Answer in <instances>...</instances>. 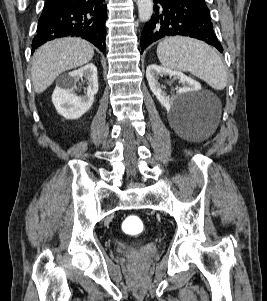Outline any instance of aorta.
Listing matches in <instances>:
<instances>
[{
  "label": "aorta",
  "instance_id": "762f6f07",
  "mask_svg": "<svg viewBox=\"0 0 267 301\" xmlns=\"http://www.w3.org/2000/svg\"><path fill=\"white\" fill-rule=\"evenodd\" d=\"M137 5L140 21L150 20L153 14V0H137Z\"/></svg>",
  "mask_w": 267,
  "mask_h": 301
}]
</instances>
